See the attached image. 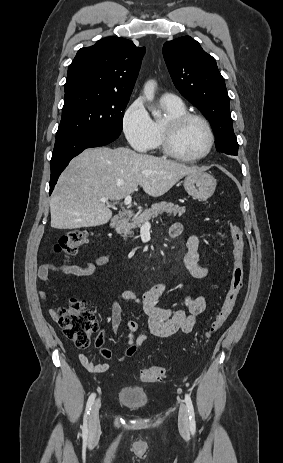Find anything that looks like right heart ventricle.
Returning <instances> with one entry per match:
<instances>
[{"instance_id":"1","label":"right heart ventricle","mask_w":283,"mask_h":463,"mask_svg":"<svg viewBox=\"0 0 283 463\" xmlns=\"http://www.w3.org/2000/svg\"><path fill=\"white\" fill-rule=\"evenodd\" d=\"M161 105L166 113L164 119H155L153 120L155 137L152 144V148H158L161 146V130L164 120L168 117L180 115L186 112V106L181 100L175 102L164 101L161 99Z\"/></svg>"}]
</instances>
